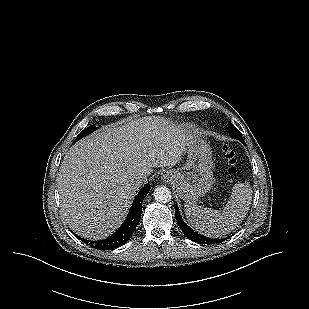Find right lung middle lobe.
<instances>
[{
  "instance_id": "right-lung-middle-lobe-1",
  "label": "right lung middle lobe",
  "mask_w": 309,
  "mask_h": 309,
  "mask_svg": "<svg viewBox=\"0 0 309 309\" xmlns=\"http://www.w3.org/2000/svg\"><path fill=\"white\" fill-rule=\"evenodd\" d=\"M98 127H95V125H91L88 128H86L85 130H83L76 138V141L81 139L82 137L88 135L89 133L95 131Z\"/></svg>"
}]
</instances>
